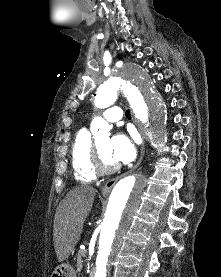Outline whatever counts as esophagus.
<instances>
[{
  "label": "esophagus",
  "mask_w": 221,
  "mask_h": 277,
  "mask_svg": "<svg viewBox=\"0 0 221 277\" xmlns=\"http://www.w3.org/2000/svg\"><path fill=\"white\" fill-rule=\"evenodd\" d=\"M137 125H138V128H139V130H140V133H141V135H142V137H143L144 142H143V145H142V148H141V153H140L139 160H138V162L136 163V165L132 168L131 171L135 170V169L140 165V163H141V161H142V159H143L144 153H145V139H146V137H145V134H144L142 128L140 127V125H139V124H137ZM124 175H125V174L120 175V176H118V177H116V178H113V179H110L109 181H107V183L105 184L104 188L102 189V192H101L102 196H103V197L108 196L109 193H110V191H111V189L114 187V185H115V184L118 182V180H119L120 178H122Z\"/></svg>",
  "instance_id": "obj_1"
}]
</instances>
